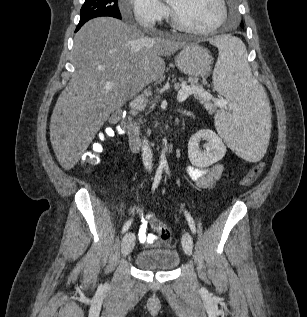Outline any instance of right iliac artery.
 <instances>
[{
    "label": "right iliac artery",
    "mask_w": 307,
    "mask_h": 317,
    "mask_svg": "<svg viewBox=\"0 0 307 317\" xmlns=\"http://www.w3.org/2000/svg\"><path fill=\"white\" fill-rule=\"evenodd\" d=\"M161 176H162V167H159L157 169V172H156V175L154 178V182L152 185V191H155V189L158 187V184L161 180ZM130 225H131V221L126 222L122 228V233H125L129 229Z\"/></svg>",
    "instance_id": "right-iliac-artery-1"
}]
</instances>
